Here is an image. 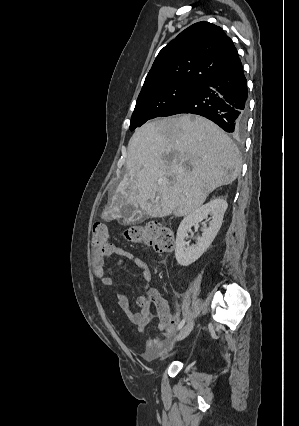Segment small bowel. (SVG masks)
<instances>
[{"label":"small bowel","instance_id":"small-bowel-1","mask_svg":"<svg viewBox=\"0 0 299 426\" xmlns=\"http://www.w3.org/2000/svg\"><path fill=\"white\" fill-rule=\"evenodd\" d=\"M112 254L119 257L116 266H120L125 260L132 261L140 269L141 276L146 282L145 288L147 290V296L142 303L141 311H134L130 307L128 296L123 291H118L116 293V300L119 308L125 313L127 319L136 326L139 333L145 332L150 321V306L154 305L156 307L159 317L158 330L161 335L149 339L141 354L145 359H154L164 352V348L171 341L175 326L180 318V312L177 310L174 314L170 313L167 301L161 296L160 292L151 285V269L143 259L116 245H113ZM92 265L94 276L100 279L104 286H112L115 283V279L111 275L112 270L106 269L103 256L95 253L92 259Z\"/></svg>","mask_w":299,"mask_h":426}]
</instances>
